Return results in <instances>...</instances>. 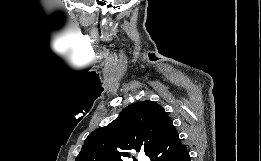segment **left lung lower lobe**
<instances>
[{"label": "left lung lower lobe", "mask_w": 261, "mask_h": 161, "mask_svg": "<svg viewBox=\"0 0 261 161\" xmlns=\"http://www.w3.org/2000/svg\"><path fill=\"white\" fill-rule=\"evenodd\" d=\"M148 157L151 161H190L189 152L186 146L181 144L177 131Z\"/></svg>", "instance_id": "left-lung-lower-lobe-1"}]
</instances>
